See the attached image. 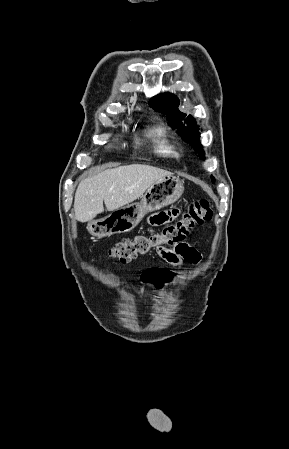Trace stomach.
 Listing matches in <instances>:
<instances>
[{
    "mask_svg": "<svg viewBox=\"0 0 289 449\" xmlns=\"http://www.w3.org/2000/svg\"><path fill=\"white\" fill-rule=\"evenodd\" d=\"M184 182L170 175L152 184L142 197L140 203H132L113 211L108 216L88 223L89 233L97 238H104L116 233L129 232L143 217L155 210L176 202L184 192Z\"/></svg>",
    "mask_w": 289,
    "mask_h": 449,
    "instance_id": "obj_1",
    "label": "stomach"
}]
</instances>
